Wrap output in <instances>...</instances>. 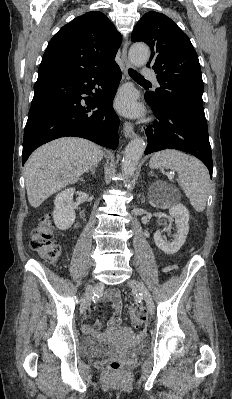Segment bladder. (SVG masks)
Instances as JSON below:
<instances>
[{
  "label": "bladder",
  "instance_id": "obj_1",
  "mask_svg": "<svg viewBox=\"0 0 232 399\" xmlns=\"http://www.w3.org/2000/svg\"><path fill=\"white\" fill-rule=\"evenodd\" d=\"M144 344L138 345L131 349H124L117 345L107 343L98 338L84 337L79 344V352L86 358H101L109 355L127 353V354H141L145 351Z\"/></svg>",
  "mask_w": 232,
  "mask_h": 399
}]
</instances>
